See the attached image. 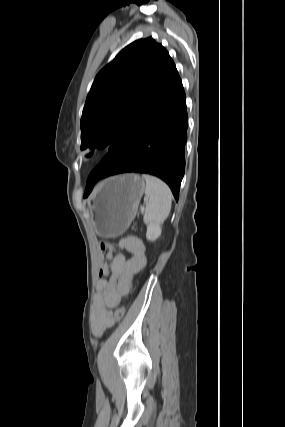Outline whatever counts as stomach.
I'll use <instances>...</instances> for the list:
<instances>
[{
    "instance_id": "obj_1",
    "label": "stomach",
    "mask_w": 285,
    "mask_h": 427,
    "mask_svg": "<svg viewBox=\"0 0 285 427\" xmlns=\"http://www.w3.org/2000/svg\"><path fill=\"white\" fill-rule=\"evenodd\" d=\"M144 191V179L135 174L114 176L101 182L89 206L97 235L104 238L121 235L135 218Z\"/></svg>"
}]
</instances>
